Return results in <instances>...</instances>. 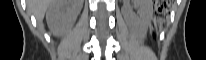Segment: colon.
<instances>
[{
	"label": "colon",
	"mask_w": 206,
	"mask_h": 60,
	"mask_svg": "<svg viewBox=\"0 0 206 60\" xmlns=\"http://www.w3.org/2000/svg\"><path fill=\"white\" fill-rule=\"evenodd\" d=\"M170 2L167 0H158L153 9V31L159 30L164 21L166 14L169 10Z\"/></svg>",
	"instance_id": "1"
}]
</instances>
